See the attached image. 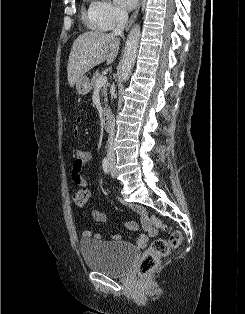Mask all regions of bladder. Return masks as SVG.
<instances>
[{
    "label": "bladder",
    "mask_w": 245,
    "mask_h": 314,
    "mask_svg": "<svg viewBox=\"0 0 245 314\" xmlns=\"http://www.w3.org/2000/svg\"><path fill=\"white\" fill-rule=\"evenodd\" d=\"M79 251L88 268L111 276L123 274L137 257L134 248L114 241L84 240Z\"/></svg>",
    "instance_id": "1"
}]
</instances>
